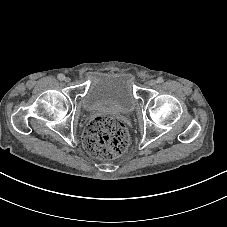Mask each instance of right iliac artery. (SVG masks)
Returning <instances> with one entry per match:
<instances>
[{
  "label": "right iliac artery",
  "instance_id": "82829eb1",
  "mask_svg": "<svg viewBox=\"0 0 227 227\" xmlns=\"http://www.w3.org/2000/svg\"><path fill=\"white\" fill-rule=\"evenodd\" d=\"M57 78L59 79V80H63L64 78H65V76L63 75V74H58V76H57Z\"/></svg>",
  "mask_w": 227,
  "mask_h": 227
}]
</instances>
